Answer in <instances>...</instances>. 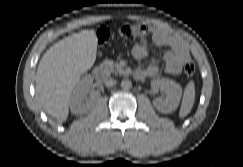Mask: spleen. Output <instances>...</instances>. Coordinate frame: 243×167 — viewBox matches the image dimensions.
Listing matches in <instances>:
<instances>
[{
    "instance_id": "1",
    "label": "spleen",
    "mask_w": 243,
    "mask_h": 167,
    "mask_svg": "<svg viewBox=\"0 0 243 167\" xmlns=\"http://www.w3.org/2000/svg\"><path fill=\"white\" fill-rule=\"evenodd\" d=\"M195 102V84L193 81H190L185 87L182 103L180 107L179 116L181 118L187 116Z\"/></svg>"
}]
</instances>
